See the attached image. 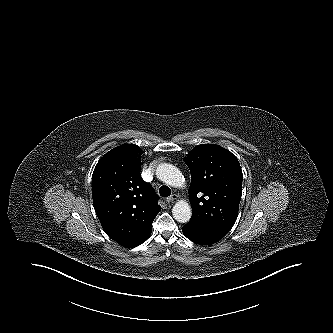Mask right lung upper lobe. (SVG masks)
Wrapping results in <instances>:
<instances>
[{"label":"right lung upper lobe","instance_id":"cb5924a9","mask_svg":"<svg viewBox=\"0 0 333 333\" xmlns=\"http://www.w3.org/2000/svg\"><path fill=\"white\" fill-rule=\"evenodd\" d=\"M142 153L134 144L118 146L98 161L92 175L94 209L103 230L128 248L150 236L161 210L158 195L141 178Z\"/></svg>","mask_w":333,"mask_h":333}]
</instances>
